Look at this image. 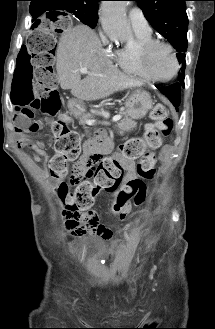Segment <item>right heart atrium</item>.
Wrapping results in <instances>:
<instances>
[{"label":"right heart atrium","instance_id":"obj_1","mask_svg":"<svg viewBox=\"0 0 215 329\" xmlns=\"http://www.w3.org/2000/svg\"><path fill=\"white\" fill-rule=\"evenodd\" d=\"M100 37H101V41L104 45L109 44V39L107 38V36L103 32L100 33Z\"/></svg>","mask_w":215,"mask_h":329}]
</instances>
